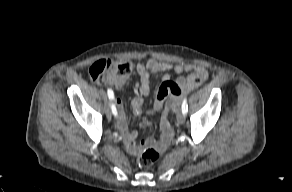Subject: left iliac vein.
Wrapping results in <instances>:
<instances>
[{
    "label": "left iliac vein",
    "instance_id": "4c4485c4",
    "mask_svg": "<svg viewBox=\"0 0 292 192\" xmlns=\"http://www.w3.org/2000/svg\"><path fill=\"white\" fill-rule=\"evenodd\" d=\"M185 119H186L185 114H183V113H179V114L177 115V122H178L179 124H183V123L185 122Z\"/></svg>",
    "mask_w": 292,
    "mask_h": 192
}]
</instances>
